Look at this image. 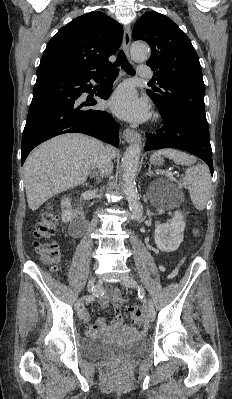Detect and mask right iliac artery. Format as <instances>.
Returning a JSON list of instances; mask_svg holds the SVG:
<instances>
[{
	"instance_id": "1",
	"label": "right iliac artery",
	"mask_w": 232,
	"mask_h": 399,
	"mask_svg": "<svg viewBox=\"0 0 232 399\" xmlns=\"http://www.w3.org/2000/svg\"><path fill=\"white\" fill-rule=\"evenodd\" d=\"M84 299L89 300V301H92V300L94 299V295H93V294H87V295H84L83 297H81V298L76 302V304H75V309H76V310H79L80 305H81V302H82V300H84Z\"/></svg>"
}]
</instances>
